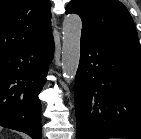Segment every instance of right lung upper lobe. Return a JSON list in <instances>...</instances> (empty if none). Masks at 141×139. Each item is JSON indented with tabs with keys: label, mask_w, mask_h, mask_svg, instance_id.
<instances>
[{
	"label": "right lung upper lobe",
	"mask_w": 141,
	"mask_h": 139,
	"mask_svg": "<svg viewBox=\"0 0 141 139\" xmlns=\"http://www.w3.org/2000/svg\"><path fill=\"white\" fill-rule=\"evenodd\" d=\"M50 0H0V53L51 35Z\"/></svg>",
	"instance_id": "cb5924a9"
}]
</instances>
